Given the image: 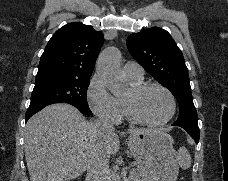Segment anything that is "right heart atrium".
Instances as JSON below:
<instances>
[{"mask_svg":"<svg viewBox=\"0 0 228 181\" xmlns=\"http://www.w3.org/2000/svg\"><path fill=\"white\" fill-rule=\"evenodd\" d=\"M88 101L91 110L100 118L118 124L122 119L119 100L106 88L103 76H95L89 85Z\"/></svg>","mask_w":228,"mask_h":181,"instance_id":"obj_1","label":"right heart atrium"}]
</instances>
